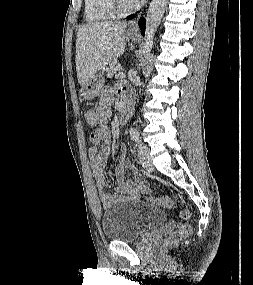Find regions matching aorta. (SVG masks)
Listing matches in <instances>:
<instances>
[{
    "instance_id": "obj_1",
    "label": "aorta",
    "mask_w": 253,
    "mask_h": 285,
    "mask_svg": "<svg viewBox=\"0 0 253 285\" xmlns=\"http://www.w3.org/2000/svg\"><path fill=\"white\" fill-rule=\"evenodd\" d=\"M167 3L168 0H152L149 5L146 16L145 42L141 50L144 58H147L151 52L154 36L165 12ZM130 132L132 133L134 130L130 129Z\"/></svg>"
}]
</instances>
